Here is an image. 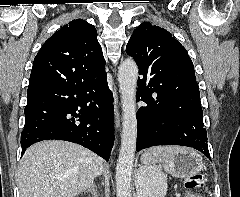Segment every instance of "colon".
<instances>
[{
  "mask_svg": "<svg viewBox=\"0 0 240 197\" xmlns=\"http://www.w3.org/2000/svg\"><path fill=\"white\" fill-rule=\"evenodd\" d=\"M185 187L189 197H201V191L205 187V177L201 173H195L185 179Z\"/></svg>",
  "mask_w": 240,
  "mask_h": 197,
  "instance_id": "5ec220e1",
  "label": "colon"
}]
</instances>
